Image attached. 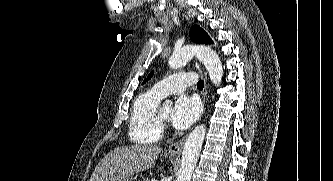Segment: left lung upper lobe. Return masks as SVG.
Masks as SVG:
<instances>
[{"instance_id": "left-lung-upper-lobe-1", "label": "left lung upper lobe", "mask_w": 333, "mask_h": 181, "mask_svg": "<svg viewBox=\"0 0 333 181\" xmlns=\"http://www.w3.org/2000/svg\"><path fill=\"white\" fill-rule=\"evenodd\" d=\"M190 38L195 43H211V40L209 36L206 34V32L200 28L197 25H194L190 30ZM153 75V72H151L148 76V78H151ZM146 81H144L145 83Z\"/></svg>"}]
</instances>
